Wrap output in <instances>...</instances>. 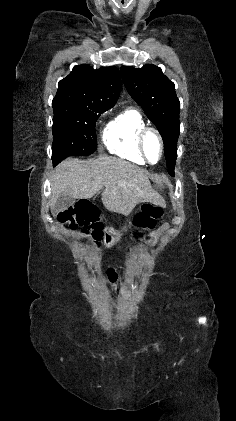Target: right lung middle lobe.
I'll use <instances>...</instances> for the list:
<instances>
[{"label":"right lung middle lobe","instance_id":"obj_1","mask_svg":"<svg viewBox=\"0 0 236 421\" xmlns=\"http://www.w3.org/2000/svg\"><path fill=\"white\" fill-rule=\"evenodd\" d=\"M54 166L68 156L90 155L97 149L95 123L109 107L53 99Z\"/></svg>","mask_w":236,"mask_h":421}]
</instances>
